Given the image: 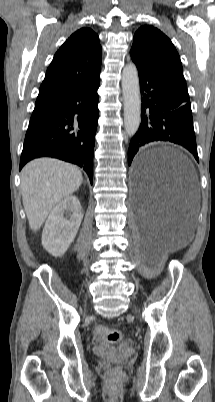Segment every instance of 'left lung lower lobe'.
<instances>
[{
	"instance_id": "left-lung-lower-lobe-1",
	"label": "left lung lower lobe",
	"mask_w": 215,
	"mask_h": 402,
	"mask_svg": "<svg viewBox=\"0 0 215 402\" xmlns=\"http://www.w3.org/2000/svg\"><path fill=\"white\" fill-rule=\"evenodd\" d=\"M138 74L142 121L130 142L129 165L140 147L154 141L181 145L199 161L189 95L147 71L138 69Z\"/></svg>"
}]
</instances>
